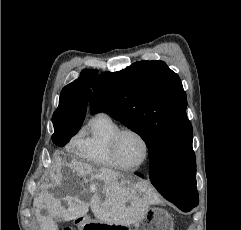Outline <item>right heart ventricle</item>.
Instances as JSON below:
<instances>
[{"label":"right heart ventricle","mask_w":241,"mask_h":230,"mask_svg":"<svg viewBox=\"0 0 241 230\" xmlns=\"http://www.w3.org/2000/svg\"><path fill=\"white\" fill-rule=\"evenodd\" d=\"M118 123L108 114L92 117L76 148L77 155L90 163L116 166L110 154V140L119 129Z\"/></svg>","instance_id":"obj_1"}]
</instances>
